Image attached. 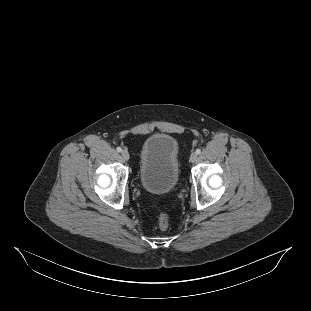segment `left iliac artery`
Returning a JSON list of instances; mask_svg holds the SVG:
<instances>
[{
	"label": "left iliac artery",
	"mask_w": 311,
	"mask_h": 311,
	"mask_svg": "<svg viewBox=\"0 0 311 311\" xmlns=\"http://www.w3.org/2000/svg\"><path fill=\"white\" fill-rule=\"evenodd\" d=\"M200 153H201V149L198 148V149L196 150V154H200Z\"/></svg>",
	"instance_id": "obj_1"
}]
</instances>
